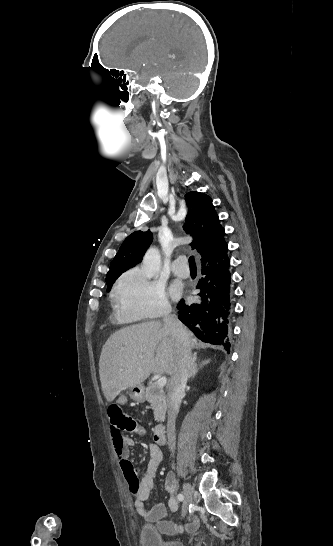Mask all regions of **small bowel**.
<instances>
[{"instance_id": "small-bowel-1", "label": "small bowel", "mask_w": 333, "mask_h": 546, "mask_svg": "<svg viewBox=\"0 0 333 546\" xmlns=\"http://www.w3.org/2000/svg\"><path fill=\"white\" fill-rule=\"evenodd\" d=\"M119 396L118 400L122 402L123 406L126 402V395L122 392ZM109 419L114 452L118 458L123 476L133 495L136 512L147 521L158 522L159 529L163 533L173 534L183 531V527L177 526L170 520L178 509V502L174 498L170 499L168 502L169 511H167L163 503H158L151 509H146L144 505V502L148 499L150 492L154 487L156 472L163 458L161 449L156 444L150 445V459L139 480L138 473L129 459V448L134 445V439L131 436L124 435V432L132 431L141 433L142 431L136 426L132 419L127 418L125 415L122 418ZM167 485H172L171 479H168ZM196 525V521H193L190 525L186 526L185 529L187 531H192L196 528Z\"/></svg>"}]
</instances>
